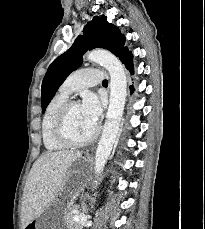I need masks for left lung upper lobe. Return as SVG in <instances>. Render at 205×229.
<instances>
[{"label": "left lung upper lobe", "instance_id": "5c2ea615", "mask_svg": "<svg viewBox=\"0 0 205 229\" xmlns=\"http://www.w3.org/2000/svg\"><path fill=\"white\" fill-rule=\"evenodd\" d=\"M125 37L120 30L107 22V17L95 16L84 27V35H79L65 53L57 57L49 66L41 87L42 112L54 97L67 76L82 64V56L91 49L104 48L118 56L125 48Z\"/></svg>", "mask_w": 205, "mask_h": 229}]
</instances>
